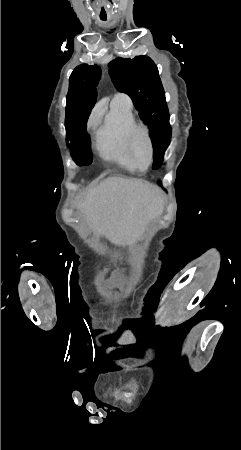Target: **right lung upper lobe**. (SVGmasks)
<instances>
[{
	"label": "right lung upper lobe",
	"instance_id": "cb5924a9",
	"mask_svg": "<svg viewBox=\"0 0 241 450\" xmlns=\"http://www.w3.org/2000/svg\"><path fill=\"white\" fill-rule=\"evenodd\" d=\"M78 73H88L101 77V69L97 65L89 66L87 64L80 65L74 69L70 77L77 75Z\"/></svg>",
	"mask_w": 241,
	"mask_h": 450
}]
</instances>
